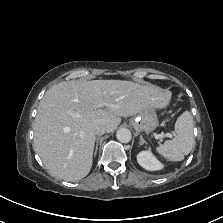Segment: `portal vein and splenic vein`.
Returning a JSON list of instances; mask_svg holds the SVG:
<instances>
[{
  "label": "portal vein and splenic vein",
  "mask_w": 223,
  "mask_h": 223,
  "mask_svg": "<svg viewBox=\"0 0 223 223\" xmlns=\"http://www.w3.org/2000/svg\"><path fill=\"white\" fill-rule=\"evenodd\" d=\"M103 105H104L103 103L100 104V106H103ZM75 117H79V115L76 114ZM163 137H169V138H171V137H172V134H171V133H166V134L162 133V134H156V135H155V138H156V139H161V138H163Z\"/></svg>",
  "instance_id": "1"
}]
</instances>
